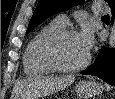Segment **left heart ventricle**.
<instances>
[{
    "mask_svg": "<svg viewBox=\"0 0 115 99\" xmlns=\"http://www.w3.org/2000/svg\"><path fill=\"white\" fill-rule=\"evenodd\" d=\"M55 54L61 64L75 66L83 62L88 52L83 46L79 35H73L58 44Z\"/></svg>",
    "mask_w": 115,
    "mask_h": 99,
    "instance_id": "1",
    "label": "left heart ventricle"
}]
</instances>
